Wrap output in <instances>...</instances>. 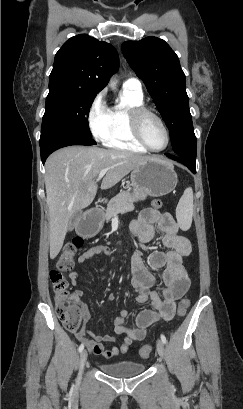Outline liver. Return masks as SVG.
Wrapping results in <instances>:
<instances>
[{
	"label": "liver",
	"mask_w": 243,
	"mask_h": 409,
	"mask_svg": "<svg viewBox=\"0 0 243 409\" xmlns=\"http://www.w3.org/2000/svg\"><path fill=\"white\" fill-rule=\"evenodd\" d=\"M150 159L128 151L85 146L65 147L51 154L45 163L50 258L59 254L70 219L93 202L102 169L108 172L101 188L109 189Z\"/></svg>",
	"instance_id": "obj_1"
}]
</instances>
